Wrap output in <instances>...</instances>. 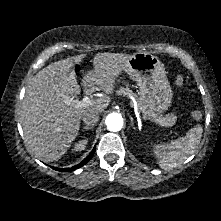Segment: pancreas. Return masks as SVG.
I'll use <instances>...</instances> for the list:
<instances>
[{
    "label": "pancreas",
    "instance_id": "1",
    "mask_svg": "<svg viewBox=\"0 0 221 221\" xmlns=\"http://www.w3.org/2000/svg\"><path fill=\"white\" fill-rule=\"evenodd\" d=\"M119 95H133L134 93L130 90L129 87H120L117 91ZM137 108L139 112H141L147 118H153L155 120H159L163 123L164 126H173L177 120V116L174 114H167L166 116L157 115L147 108L145 104L141 100L137 101Z\"/></svg>",
    "mask_w": 221,
    "mask_h": 221
}]
</instances>
